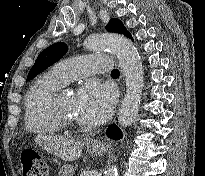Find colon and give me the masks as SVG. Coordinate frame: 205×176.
Segmentation results:
<instances>
[{
  "label": "colon",
  "mask_w": 205,
  "mask_h": 176,
  "mask_svg": "<svg viewBox=\"0 0 205 176\" xmlns=\"http://www.w3.org/2000/svg\"><path fill=\"white\" fill-rule=\"evenodd\" d=\"M21 172L22 176H47V162L40 156L27 154L22 160Z\"/></svg>",
  "instance_id": "5ec220e1"
}]
</instances>
